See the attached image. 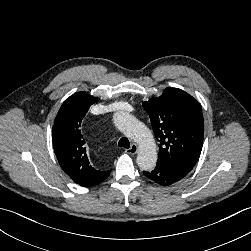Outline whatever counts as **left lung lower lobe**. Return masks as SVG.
Returning <instances> with one entry per match:
<instances>
[{
  "label": "left lung lower lobe",
  "mask_w": 251,
  "mask_h": 251,
  "mask_svg": "<svg viewBox=\"0 0 251 251\" xmlns=\"http://www.w3.org/2000/svg\"><path fill=\"white\" fill-rule=\"evenodd\" d=\"M188 173L172 165L157 163L152 172H144V175L160 185L169 186L180 181Z\"/></svg>",
  "instance_id": "left-lung-lower-lobe-1"
}]
</instances>
